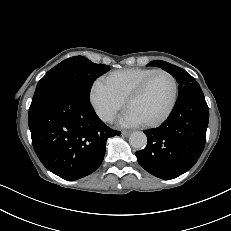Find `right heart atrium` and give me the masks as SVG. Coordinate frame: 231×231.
Wrapping results in <instances>:
<instances>
[{"mask_svg":"<svg viewBox=\"0 0 231 231\" xmlns=\"http://www.w3.org/2000/svg\"><path fill=\"white\" fill-rule=\"evenodd\" d=\"M89 98L96 114L104 122H111L124 106V101L110 91L102 81L92 85Z\"/></svg>","mask_w":231,"mask_h":231,"instance_id":"1","label":"right heart atrium"}]
</instances>
